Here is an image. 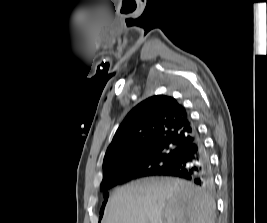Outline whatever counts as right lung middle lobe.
Returning <instances> with one entry per match:
<instances>
[{
    "label": "right lung middle lobe",
    "mask_w": 267,
    "mask_h": 223,
    "mask_svg": "<svg viewBox=\"0 0 267 223\" xmlns=\"http://www.w3.org/2000/svg\"><path fill=\"white\" fill-rule=\"evenodd\" d=\"M180 153L181 151L177 147L163 146L157 152L147 155L143 160H138L134 166L137 167V171L139 172L155 174L171 166L179 157ZM108 196L109 194L105 192V203L107 202ZM104 205H102L101 213Z\"/></svg>",
    "instance_id": "1"
}]
</instances>
